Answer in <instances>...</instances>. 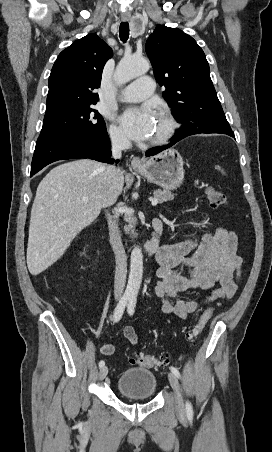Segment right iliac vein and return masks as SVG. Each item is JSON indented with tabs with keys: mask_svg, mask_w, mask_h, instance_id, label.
Segmentation results:
<instances>
[{
	"mask_svg": "<svg viewBox=\"0 0 272 452\" xmlns=\"http://www.w3.org/2000/svg\"><path fill=\"white\" fill-rule=\"evenodd\" d=\"M108 374V367L107 366H103L100 368L99 371V378L100 379H104Z\"/></svg>",
	"mask_w": 272,
	"mask_h": 452,
	"instance_id": "obj_1",
	"label": "right iliac vein"
}]
</instances>
